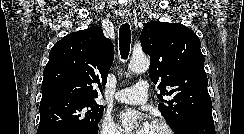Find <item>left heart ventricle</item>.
<instances>
[{
	"label": "left heart ventricle",
	"instance_id": "1",
	"mask_svg": "<svg viewBox=\"0 0 244 134\" xmlns=\"http://www.w3.org/2000/svg\"><path fill=\"white\" fill-rule=\"evenodd\" d=\"M148 134H167L164 129L156 125H152Z\"/></svg>",
	"mask_w": 244,
	"mask_h": 134
}]
</instances>
